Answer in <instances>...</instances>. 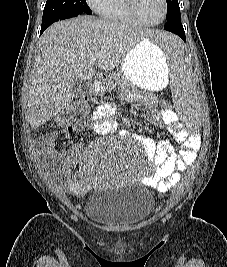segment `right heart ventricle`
Returning <instances> with one entry per match:
<instances>
[{"label":"right heart ventricle","instance_id":"right-heart-ventricle-1","mask_svg":"<svg viewBox=\"0 0 227 267\" xmlns=\"http://www.w3.org/2000/svg\"><path fill=\"white\" fill-rule=\"evenodd\" d=\"M97 13L109 21L133 25L141 24L127 9L126 0H105L103 5L97 9Z\"/></svg>","mask_w":227,"mask_h":267}]
</instances>
